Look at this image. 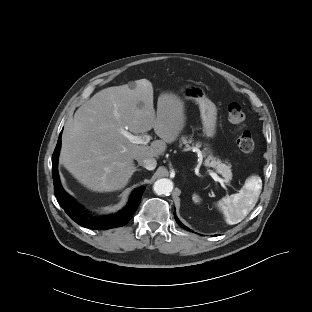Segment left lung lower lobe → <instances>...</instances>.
Returning <instances> with one entry per match:
<instances>
[{"label":"left lung lower lobe","instance_id":"0a47b994","mask_svg":"<svg viewBox=\"0 0 312 312\" xmlns=\"http://www.w3.org/2000/svg\"><path fill=\"white\" fill-rule=\"evenodd\" d=\"M174 215H175V214H174ZM175 220H176V222H177L182 228H184V229L190 231V229H188L186 226H184V225L179 221V219L176 217V215H175Z\"/></svg>","mask_w":312,"mask_h":312}]
</instances>
